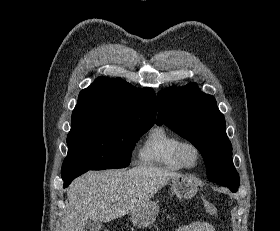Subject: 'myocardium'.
Segmentation results:
<instances>
[{
    "instance_id": "obj_1",
    "label": "myocardium",
    "mask_w": 280,
    "mask_h": 231,
    "mask_svg": "<svg viewBox=\"0 0 280 231\" xmlns=\"http://www.w3.org/2000/svg\"><path fill=\"white\" fill-rule=\"evenodd\" d=\"M186 146H193L197 153H198V156H199V162L197 164V166L195 168H189L185 163H184V160H183V149L186 147ZM176 156H177V159L181 165V167L186 170V171H195L197 170L203 163V160H204V154H203V150L201 148V146L196 143L195 141L193 140H189V139H182L179 144H178V147H177V150H176Z\"/></svg>"
}]
</instances>
